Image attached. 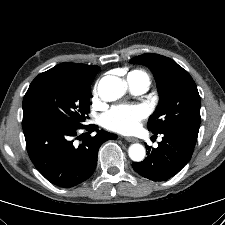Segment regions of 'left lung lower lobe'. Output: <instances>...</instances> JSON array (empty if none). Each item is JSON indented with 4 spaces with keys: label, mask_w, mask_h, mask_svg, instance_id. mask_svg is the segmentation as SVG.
<instances>
[{
    "label": "left lung lower lobe",
    "mask_w": 225,
    "mask_h": 225,
    "mask_svg": "<svg viewBox=\"0 0 225 225\" xmlns=\"http://www.w3.org/2000/svg\"><path fill=\"white\" fill-rule=\"evenodd\" d=\"M158 148L147 146L144 161L133 163L134 170L153 181H164L176 175L191 159L197 136L176 130H164ZM156 135V134H155Z\"/></svg>",
    "instance_id": "left-lung-lower-lobe-1"
}]
</instances>
